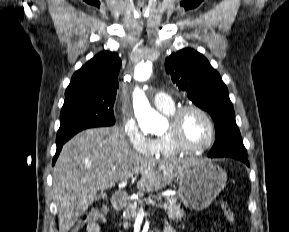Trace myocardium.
<instances>
[{
	"label": "myocardium",
	"mask_w": 289,
	"mask_h": 232,
	"mask_svg": "<svg viewBox=\"0 0 289 232\" xmlns=\"http://www.w3.org/2000/svg\"><path fill=\"white\" fill-rule=\"evenodd\" d=\"M189 111L198 112L200 115L204 117V119L208 123L209 129H210V135H209L207 142L201 146H196V147L190 146L189 144L185 142L183 138L182 129H181L182 119L184 115ZM166 134L177 149H179L180 151L184 153L196 154V153H201L207 150L213 145L216 139V127H215L212 117L209 115V113L206 110H204L202 107L198 105L188 104V105L178 107L174 111V113L170 116L169 129Z\"/></svg>",
	"instance_id": "myocardium-1"
}]
</instances>
